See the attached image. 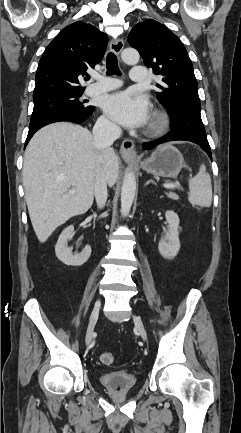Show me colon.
<instances>
[{
	"mask_svg": "<svg viewBox=\"0 0 241 433\" xmlns=\"http://www.w3.org/2000/svg\"><path fill=\"white\" fill-rule=\"evenodd\" d=\"M100 360L103 364H112L114 362V355L110 352H105L101 355Z\"/></svg>",
	"mask_w": 241,
	"mask_h": 433,
	"instance_id": "obj_1",
	"label": "colon"
}]
</instances>
